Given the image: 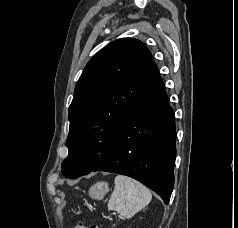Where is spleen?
<instances>
[{
    "mask_svg": "<svg viewBox=\"0 0 238 228\" xmlns=\"http://www.w3.org/2000/svg\"><path fill=\"white\" fill-rule=\"evenodd\" d=\"M108 201V210L119 213L120 219H130L145 208L152 199L150 190L130 177L118 175Z\"/></svg>",
    "mask_w": 238,
    "mask_h": 228,
    "instance_id": "obj_1",
    "label": "spleen"
}]
</instances>
